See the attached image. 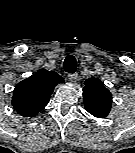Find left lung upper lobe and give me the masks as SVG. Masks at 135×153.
<instances>
[{
  "label": "left lung upper lobe",
  "mask_w": 135,
  "mask_h": 153,
  "mask_svg": "<svg viewBox=\"0 0 135 153\" xmlns=\"http://www.w3.org/2000/svg\"><path fill=\"white\" fill-rule=\"evenodd\" d=\"M83 98L85 109L95 117H106L111 109L112 95L104 84L96 78L84 82Z\"/></svg>",
  "instance_id": "obj_1"
}]
</instances>
